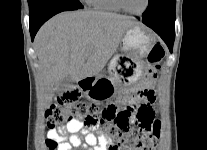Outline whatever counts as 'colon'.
Returning <instances> with one entry per match:
<instances>
[{
  "label": "colon",
  "mask_w": 207,
  "mask_h": 150,
  "mask_svg": "<svg viewBox=\"0 0 207 150\" xmlns=\"http://www.w3.org/2000/svg\"><path fill=\"white\" fill-rule=\"evenodd\" d=\"M165 50L155 44L149 51L147 60L150 64L148 82L157 75ZM156 86L142 87L124 107L114 103L99 105L94 102L77 101L71 97L56 100V104L45 114L46 126L55 128L73 118L80 117L88 129L105 126L114 136V142L108 150H156L160 123L155 120L158 115ZM58 142L46 140L48 150H58Z\"/></svg>",
  "instance_id": "obj_1"
}]
</instances>
